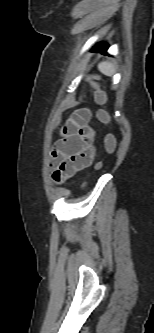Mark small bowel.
<instances>
[{"instance_id": "obj_1", "label": "small bowel", "mask_w": 154, "mask_h": 333, "mask_svg": "<svg viewBox=\"0 0 154 333\" xmlns=\"http://www.w3.org/2000/svg\"><path fill=\"white\" fill-rule=\"evenodd\" d=\"M90 119L91 112L80 109L63 128L62 137L55 143L50 161L54 182L63 183L92 165L96 156V133L89 125Z\"/></svg>"}]
</instances>
